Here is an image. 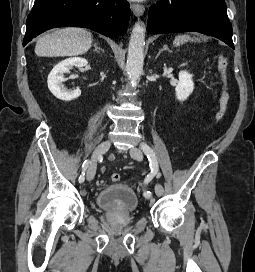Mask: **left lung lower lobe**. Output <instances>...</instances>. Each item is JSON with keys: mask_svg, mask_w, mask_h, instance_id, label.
Segmentation results:
<instances>
[{"mask_svg": "<svg viewBox=\"0 0 255 272\" xmlns=\"http://www.w3.org/2000/svg\"><path fill=\"white\" fill-rule=\"evenodd\" d=\"M147 31H196L216 37L234 49L224 0H161L149 9Z\"/></svg>", "mask_w": 255, "mask_h": 272, "instance_id": "0a47b994", "label": "left lung lower lobe"}]
</instances>
